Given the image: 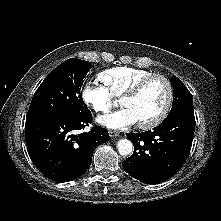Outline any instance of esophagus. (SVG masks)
<instances>
[{"label": "esophagus", "mask_w": 221, "mask_h": 221, "mask_svg": "<svg viewBox=\"0 0 221 221\" xmlns=\"http://www.w3.org/2000/svg\"><path fill=\"white\" fill-rule=\"evenodd\" d=\"M109 135H110V137H117L118 135H119V132H117V131H113V130H110L109 131Z\"/></svg>", "instance_id": "1"}]
</instances>
